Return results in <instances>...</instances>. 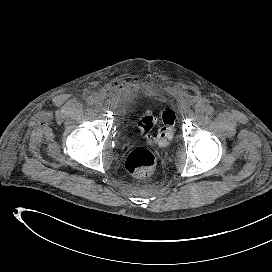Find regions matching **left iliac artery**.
Instances as JSON below:
<instances>
[{
	"label": "left iliac artery",
	"mask_w": 272,
	"mask_h": 272,
	"mask_svg": "<svg viewBox=\"0 0 272 272\" xmlns=\"http://www.w3.org/2000/svg\"><path fill=\"white\" fill-rule=\"evenodd\" d=\"M205 111H206V114L211 115L214 112V108L209 105L206 107Z\"/></svg>",
	"instance_id": "obj_1"
}]
</instances>
